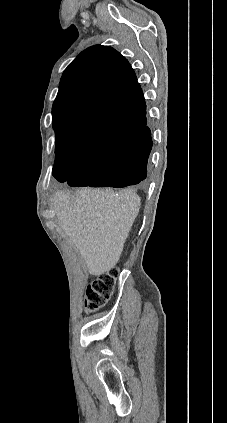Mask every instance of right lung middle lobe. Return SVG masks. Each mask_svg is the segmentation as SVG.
<instances>
[{"label": "right lung middle lobe", "instance_id": "dd1d6c3e", "mask_svg": "<svg viewBox=\"0 0 227 423\" xmlns=\"http://www.w3.org/2000/svg\"><path fill=\"white\" fill-rule=\"evenodd\" d=\"M56 161L65 160L70 167V175L79 167V165L85 160L88 154L79 153L68 149L64 146L56 144Z\"/></svg>", "mask_w": 227, "mask_h": 423}]
</instances>
